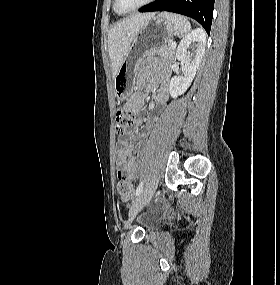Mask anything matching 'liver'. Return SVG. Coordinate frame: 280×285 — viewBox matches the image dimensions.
I'll use <instances>...</instances> for the list:
<instances>
[{
	"instance_id": "liver-1",
	"label": "liver",
	"mask_w": 280,
	"mask_h": 285,
	"mask_svg": "<svg viewBox=\"0 0 280 285\" xmlns=\"http://www.w3.org/2000/svg\"><path fill=\"white\" fill-rule=\"evenodd\" d=\"M155 13L136 14L114 25L108 33V50L112 63L113 78L129 52L142 26Z\"/></svg>"
}]
</instances>
